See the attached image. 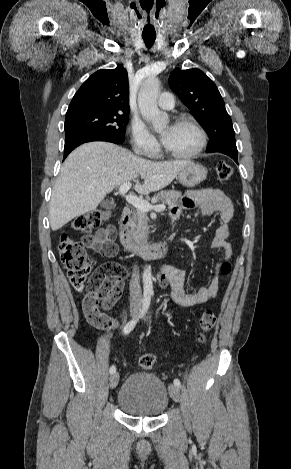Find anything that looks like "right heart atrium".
<instances>
[{
  "mask_svg": "<svg viewBox=\"0 0 291 469\" xmlns=\"http://www.w3.org/2000/svg\"><path fill=\"white\" fill-rule=\"evenodd\" d=\"M129 132L132 146L141 154L149 156L156 152L158 142L143 122L133 120Z\"/></svg>",
  "mask_w": 291,
  "mask_h": 469,
  "instance_id": "1",
  "label": "right heart atrium"
}]
</instances>
